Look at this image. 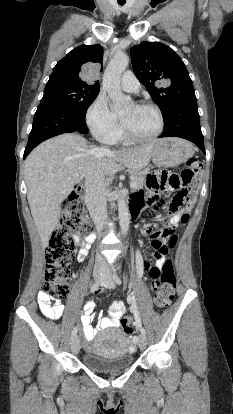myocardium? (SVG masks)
Masks as SVG:
<instances>
[{
  "instance_id": "1",
  "label": "myocardium",
  "mask_w": 233,
  "mask_h": 414,
  "mask_svg": "<svg viewBox=\"0 0 233 414\" xmlns=\"http://www.w3.org/2000/svg\"><path fill=\"white\" fill-rule=\"evenodd\" d=\"M135 105L138 106V107H142V108H151V109H153L159 117V128L154 134H152L150 136H147V137L138 136V135L134 134L129 129V127L126 125V123L120 117V128H121V131L123 132V134L129 140L134 141V142H148V141H152V140L158 138L162 134V132L164 130V127H165V118H164L163 112L160 109V107L158 105L154 104V103H151V102H140V103H137Z\"/></svg>"
}]
</instances>
